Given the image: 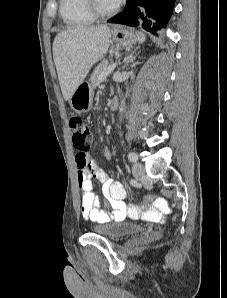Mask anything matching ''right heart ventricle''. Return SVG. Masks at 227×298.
I'll list each match as a JSON object with an SVG mask.
<instances>
[{
  "label": "right heart ventricle",
  "instance_id": "right-heart-ventricle-1",
  "mask_svg": "<svg viewBox=\"0 0 227 298\" xmlns=\"http://www.w3.org/2000/svg\"><path fill=\"white\" fill-rule=\"evenodd\" d=\"M60 15L70 27L88 26L95 20L87 9L86 0H60Z\"/></svg>",
  "mask_w": 227,
  "mask_h": 298
}]
</instances>
